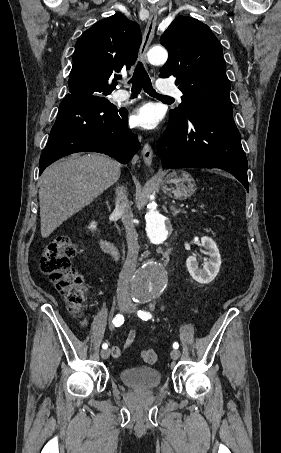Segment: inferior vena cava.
Instances as JSON below:
<instances>
[{
  "label": "inferior vena cava",
  "mask_w": 281,
  "mask_h": 453,
  "mask_svg": "<svg viewBox=\"0 0 281 453\" xmlns=\"http://www.w3.org/2000/svg\"><path fill=\"white\" fill-rule=\"evenodd\" d=\"M113 212L114 214H119L122 218L128 247L126 261L118 279L117 299L118 301H128V303H131L129 285L136 269L139 245L137 243L138 235L134 229L132 210L124 186L118 190V198Z\"/></svg>",
  "instance_id": "obj_1"
}]
</instances>
